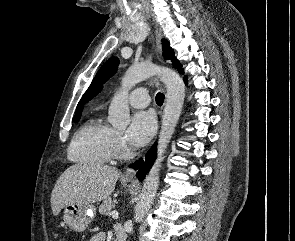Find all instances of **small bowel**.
Returning a JSON list of instances; mask_svg holds the SVG:
<instances>
[{"label": "small bowel", "mask_w": 295, "mask_h": 241, "mask_svg": "<svg viewBox=\"0 0 295 241\" xmlns=\"http://www.w3.org/2000/svg\"><path fill=\"white\" fill-rule=\"evenodd\" d=\"M117 233H122L120 228L117 229ZM89 241H105V235L104 233H97Z\"/></svg>", "instance_id": "1"}]
</instances>
